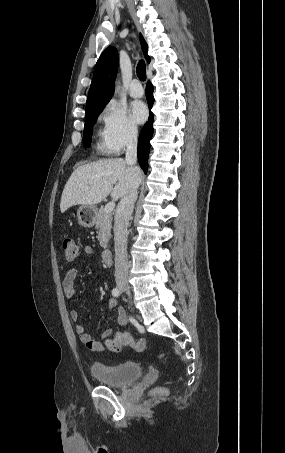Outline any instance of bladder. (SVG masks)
<instances>
[{
    "instance_id": "1",
    "label": "bladder",
    "mask_w": 285,
    "mask_h": 453,
    "mask_svg": "<svg viewBox=\"0 0 285 453\" xmlns=\"http://www.w3.org/2000/svg\"><path fill=\"white\" fill-rule=\"evenodd\" d=\"M91 373L102 384L122 387L138 380L142 376L143 370L139 364L134 362L117 365L95 362L91 365Z\"/></svg>"
}]
</instances>
